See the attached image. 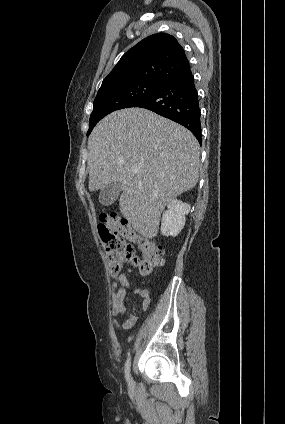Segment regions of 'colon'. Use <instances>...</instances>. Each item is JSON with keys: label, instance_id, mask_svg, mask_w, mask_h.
Instances as JSON below:
<instances>
[{"label": "colon", "instance_id": "1", "mask_svg": "<svg viewBox=\"0 0 285 424\" xmlns=\"http://www.w3.org/2000/svg\"><path fill=\"white\" fill-rule=\"evenodd\" d=\"M97 230L105 245L106 258L112 275H117L125 264L137 267L142 275H150L155 269L163 266L164 258L160 247L138 234L120 216H102ZM131 242L140 246L142 258L135 255Z\"/></svg>", "mask_w": 285, "mask_h": 424}]
</instances>
